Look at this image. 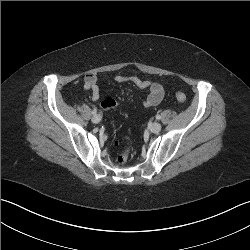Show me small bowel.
Wrapping results in <instances>:
<instances>
[{
  "label": "small bowel",
  "instance_id": "small-bowel-1",
  "mask_svg": "<svg viewBox=\"0 0 250 250\" xmlns=\"http://www.w3.org/2000/svg\"><path fill=\"white\" fill-rule=\"evenodd\" d=\"M114 80L117 83L129 82L140 89H146L148 91V94L143 102L145 107L156 106L163 99L164 89L163 86L158 82L142 80L137 76L125 75H116L114 77ZM83 88L86 91L90 90L92 92V100L97 101L100 98L98 79L95 75L89 74L85 76Z\"/></svg>",
  "mask_w": 250,
  "mask_h": 250
}]
</instances>
